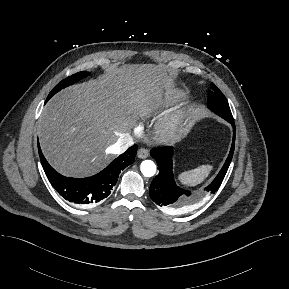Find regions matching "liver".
Returning <instances> with one entry per match:
<instances>
[{
  "instance_id": "6515ba94",
  "label": "liver",
  "mask_w": 289,
  "mask_h": 289,
  "mask_svg": "<svg viewBox=\"0 0 289 289\" xmlns=\"http://www.w3.org/2000/svg\"><path fill=\"white\" fill-rule=\"evenodd\" d=\"M165 87L159 66L124 64L63 89L40 116L38 136L45 158L67 177L96 174L115 157L111 146L118 138L160 103Z\"/></svg>"
}]
</instances>
